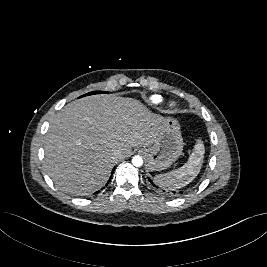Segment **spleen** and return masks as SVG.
Instances as JSON below:
<instances>
[{
	"instance_id": "3e777b00",
	"label": "spleen",
	"mask_w": 267,
	"mask_h": 267,
	"mask_svg": "<svg viewBox=\"0 0 267 267\" xmlns=\"http://www.w3.org/2000/svg\"><path fill=\"white\" fill-rule=\"evenodd\" d=\"M204 144L198 139L188 162L177 170L156 176L160 186L169 189H178L189 184L200 172L204 158Z\"/></svg>"
}]
</instances>
